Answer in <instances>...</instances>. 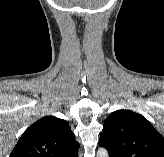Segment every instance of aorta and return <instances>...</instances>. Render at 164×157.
<instances>
[{
	"label": "aorta",
	"mask_w": 164,
	"mask_h": 157,
	"mask_svg": "<svg viewBox=\"0 0 164 157\" xmlns=\"http://www.w3.org/2000/svg\"><path fill=\"white\" fill-rule=\"evenodd\" d=\"M97 157H108V151L105 148H99L97 151Z\"/></svg>",
	"instance_id": "obj_1"
}]
</instances>
